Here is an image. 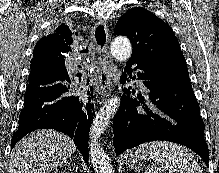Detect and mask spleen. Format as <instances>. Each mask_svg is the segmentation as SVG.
<instances>
[{
  "mask_svg": "<svg viewBox=\"0 0 219 173\" xmlns=\"http://www.w3.org/2000/svg\"><path fill=\"white\" fill-rule=\"evenodd\" d=\"M136 158H151L155 167L144 173H162L169 170L175 173H203L194 156L184 147L167 141H151L140 145L135 151Z\"/></svg>",
  "mask_w": 219,
  "mask_h": 173,
  "instance_id": "spleen-1",
  "label": "spleen"
}]
</instances>
